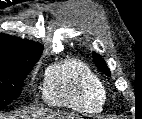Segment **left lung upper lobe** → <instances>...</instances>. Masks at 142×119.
<instances>
[{
    "instance_id": "1",
    "label": "left lung upper lobe",
    "mask_w": 142,
    "mask_h": 119,
    "mask_svg": "<svg viewBox=\"0 0 142 119\" xmlns=\"http://www.w3.org/2000/svg\"><path fill=\"white\" fill-rule=\"evenodd\" d=\"M92 55H93V59H94V62L96 64V66L102 72H104L106 75L110 76V71H109L105 61L102 59V57L99 54L95 53V52H93Z\"/></svg>"
}]
</instances>
